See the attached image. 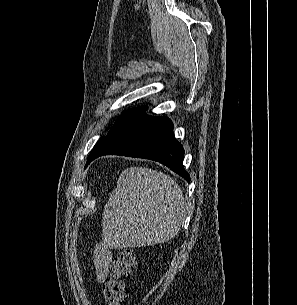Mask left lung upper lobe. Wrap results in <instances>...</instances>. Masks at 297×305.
I'll list each match as a JSON object with an SVG mask.
<instances>
[{
  "label": "left lung upper lobe",
  "mask_w": 297,
  "mask_h": 305,
  "mask_svg": "<svg viewBox=\"0 0 297 305\" xmlns=\"http://www.w3.org/2000/svg\"><path fill=\"white\" fill-rule=\"evenodd\" d=\"M103 138H104V136L101 137V138L99 139V141L96 143V145H95L94 148L92 149L90 155H91V154L101 145ZM87 162H88V161H87Z\"/></svg>",
  "instance_id": "5c2ea615"
}]
</instances>
